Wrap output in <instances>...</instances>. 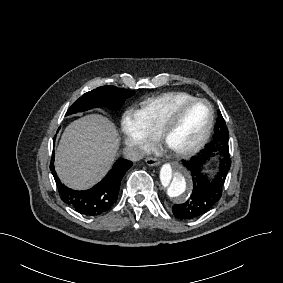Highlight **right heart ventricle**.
Masks as SVG:
<instances>
[{"instance_id": "e07e8e85", "label": "right heart ventricle", "mask_w": 283, "mask_h": 283, "mask_svg": "<svg viewBox=\"0 0 283 283\" xmlns=\"http://www.w3.org/2000/svg\"><path fill=\"white\" fill-rule=\"evenodd\" d=\"M193 98H196V96L188 92H184V91L169 92L161 96L150 98L148 100L143 101L140 104L138 111L142 115L147 127L151 131L152 136L156 137V132L158 129L157 118L162 109L163 103L166 100H168L170 102L168 103L167 107L169 105L175 106L174 103L176 102L186 101Z\"/></svg>"}]
</instances>
